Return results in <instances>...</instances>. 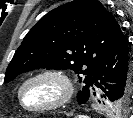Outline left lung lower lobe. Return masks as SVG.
<instances>
[{"mask_svg":"<svg viewBox=\"0 0 133 118\" xmlns=\"http://www.w3.org/2000/svg\"><path fill=\"white\" fill-rule=\"evenodd\" d=\"M130 73L129 43L120 30L92 73L89 95H96L95 87H98L102 91L101 97L113 103L126 95L131 96Z\"/></svg>","mask_w":133,"mask_h":118,"instance_id":"0a47b994","label":"left lung lower lobe"}]
</instances>
